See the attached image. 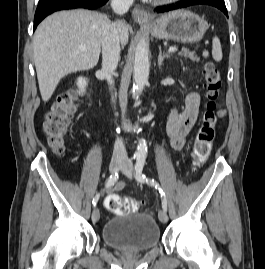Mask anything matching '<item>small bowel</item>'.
<instances>
[{
	"mask_svg": "<svg viewBox=\"0 0 265 269\" xmlns=\"http://www.w3.org/2000/svg\"><path fill=\"white\" fill-rule=\"evenodd\" d=\"M201 106L200 95L196 92H191L187 95L185 100V108L183 111H178L173 108L169 114L167 121V134L169 143L173 150H181L186 143V137L192 132L198 113ZM221 118L225 117V111L219 110ZM125 187L124 182H118L112 187H109L104 192V195L120 191Z\"/></svg>",
	"mask_w": 265,
	"mask_h": 269,
	"instance_id": "1",
	"label": "small bowel"
}]
</instances>
